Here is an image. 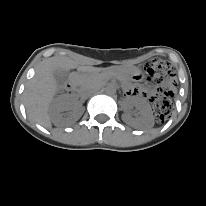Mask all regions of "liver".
<instances>
[{
	"label": "liver",
	"instance_id": "6515ba94",
	"mask_svg": "<svg viewBox=\"0 0 206 206\" xmlns=\"http://www.w3.org/2000/svg\"><path fill=\"white\" fill-rule=\"evenodd\" d=\"M79 63L66 56H53L42 61L34 77L28 81L24 100L27 115L30 119L39 122L41 125H49L51 122L56 126H67L77 121L82 112L73 111L69 115H50L51 102L59 91V84L53 76L57 68L74 69Z\"/></svg>",
	"mask_w": 206,
	"mask_h": 206
}]
</instances>
